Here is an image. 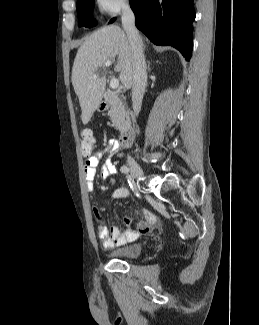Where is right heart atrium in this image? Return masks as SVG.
I'll return each instance as SVG.
<instances>
[{
    "instance_id": "1",
    "label": "right heart atrium",
    "mask_w": 259,
    "mask_h": 325,
    "mask_svg": "<svg viewBox=\"0 0 259 325\" xmlns=\"http://www.w3.org/2000/svg\"><path fill=\"white\" fill-rule=\"evenodd\" d=\"M95 2L101 14L110 16L127 7L129 0H95Z\"/></svg>"
}]
</instances>
